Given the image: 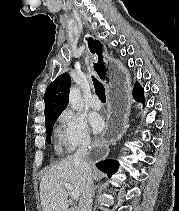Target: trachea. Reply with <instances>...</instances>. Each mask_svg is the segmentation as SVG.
<instances>
[{"label": "trachea", "mask_w": 179, "mask_h": 211, "mask_svg": "<svg viewBox=\"0 0 179 211\" xmlns=\"http://www.w3.org/2000/svg\"><path fill=\"white\" fill-rule=\"evenodd\" d=\"M94 81V87H95V92L98 95V97L100 98V100L105 101L106 100V96H105V89L104 86L95 78H93Z\"/></svg>", "instance_id": "obj_1"}]
</instances>
